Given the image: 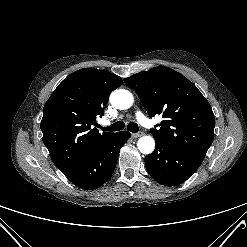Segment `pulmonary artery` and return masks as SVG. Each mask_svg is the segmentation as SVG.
<instances>
[{"instance_id": "1", "label": "pulmonary artery", "mask_w": 247, "mask_h": 247, "mask_svg": "<svg viewBox=\"0 0 247 247\" xmlns=\"http://www.w3.org/2000/svg\"><path fill=\"white\" fill-rule=\"evenodd\" d=\"M136 117L138 119V121L145 127H150L152 124L151 122L141 113V112H137L136 113ZM105 125H108L109 122L106 121L104 122Z\"/></svg>"}]
</instances>
